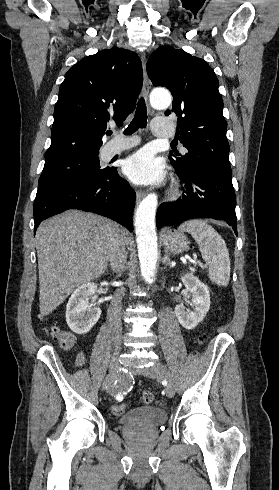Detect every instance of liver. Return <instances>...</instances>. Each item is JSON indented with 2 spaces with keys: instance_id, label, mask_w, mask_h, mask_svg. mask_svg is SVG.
<instances>
[{
  "instance_id": "1",
  "label": "liver",
  "mask_w": 279,
  "mask_h": 490,
  "mask_svg": "<svg viewBox=\"0 0 279 490\" xmlns=\"http://www.w3.org/2000/svg\"><path fill=\"white\" fill-rule=\"evenodd\" d=\"M116 234L126 244L130 240L129 232L116 222L79 210H67L40 224L35 244L42 316H49L75 288L104 274Z\"/></svg>"
}]
</instances>
